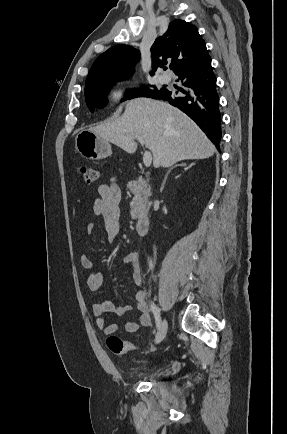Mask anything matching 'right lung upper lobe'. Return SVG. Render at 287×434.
<instances>
[{"label": "right lung upper lobe", "mask_w": 287, "mask_h": 434, "mask_svg": "<svg viewBox=\"0 0 287 434\" xmlns=\"http://www.w3.org/2000/svg\"><path fill=\"white\" fill-rule=\"evenodd\" d=\"M206 50L198 29L188 22L176 19L170 22L167 32L158 37L151 47L154 75L171 59V69L178 73L195 61ZM140 52L130 45L119 44L101 54L93 63L85 85L115 78H128L134 72V63Z\"/></svg>", "instance_id": "obj_1"}]
</instances>
